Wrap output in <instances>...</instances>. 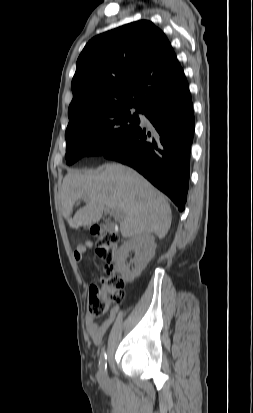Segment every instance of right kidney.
Masks as SVG:
<instances>
[{
  "label": "right kidney",
  "instance_id": "right-kidney-1",
  "mask_svg": "<svg viewBox=\"0 0 253 413\" xmlns=\"http://www.w3.org/2000/svg\"><path fill=\"white\" fill-rule=\"evenodd\" d=\"M155 238L150 233L141 234L124 242L115 254V264L121 277L128 282L133 281L145 269L147 264L155 255ZM131 251L135 252V257L126 263ZM134 267L130 269V266Z\"/></svg>",
  "mask_w": 253,
  "mask_h": 413
}]
</instances>
